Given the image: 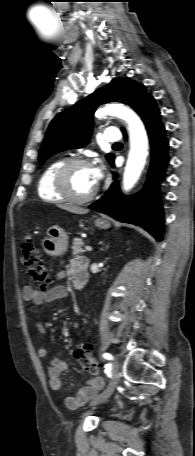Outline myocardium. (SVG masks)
<instances>
[{"label": "myocardium", "instance_id": "myocardium-1", "mask_svg": "<svg viewBox=\"0 0 195 456\" xmlns=\"http://www.w3.org/2000/svg\"><path fill=\"white\" fill-rule=\"evenodd\" d=\"M77 166H88L91 167V163L83 158H71L64 161L56 170L54 174L53 183L56 191L67 201L73 203H86L92 200L96 193L97 189L94 190L85 196L75 195L69 186V173L70 171Z\"/></svg>", "mask_w": 195, "mask_h": 456}]
</instances>
